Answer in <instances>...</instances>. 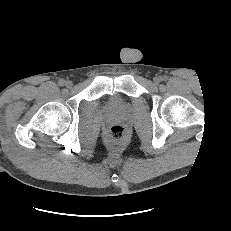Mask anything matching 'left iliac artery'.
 I'll list each match as a JSON object with an SVG mask.
<instances>
[{"label": "left iliac artery", "mask_w": 231, "mask_h": 231, "mask_svg": "<svg viewBox=\"0 0 231 231\" xmlns=\"http://www.w3.org/2000/svg\"><path fill=\"white\" fill-rule=\"evenodd\" d=\"M162 80H164V81L167 80V77L166 76L162 77Z\"/></svg>", "instance_id": "obj_1"}]
</instances>
